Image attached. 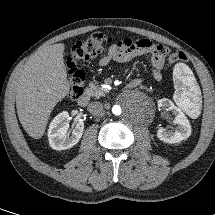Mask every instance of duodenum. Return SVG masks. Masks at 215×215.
<instances>
[{
	"instance_id": "410a0bca",
	"label": "duodenum",
	"mask_w": 215,
	"mask_h": 215,
	"mask_svg": "<svg viewBox=\"0 0 215 215\" xmlns=\"http://www.w3.org/2000/svg\"><path fill=\"white\" fill-rule=\"evenodd\" d=\"M138 85H139V80L135 79L129 83L128 88L132 89L137 87ZM89 100H90L89 95L84 92L79 96L77 103L79 106L85 107L89 103Z\"/></svg>"
}]
</instances>
